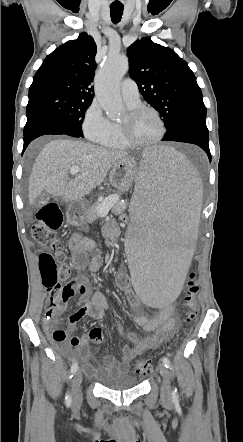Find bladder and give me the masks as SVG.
Segmentation results:
<instances>
[{"mask_svg": "<svg viewBox=\"0 0 243 442\" xmlns=\"http://www.w3.org/2000/svg\"><path fill=\"white\" fill-rule=\"evenodd\" d=\"M101 387L110 390H127L139 385L140 381L128 372L112 373L98 379Z\"/></svg>", "mask_w": 243, "mask_h": 442, "instance_id": "31cf9c89", "label": "bladder"}]
</instances>
